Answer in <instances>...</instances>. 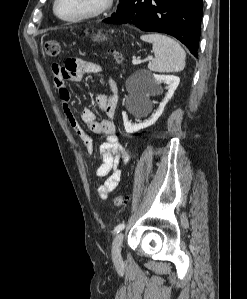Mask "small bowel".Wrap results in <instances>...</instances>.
<instances>
[{"mask_svg":"<svg viewBox=\"0 0 247 299\" xmlns=\"http://www.w3.org/2000/svg\"><path fill=\"white\" fill-rule=\"evenodd\" d=\"M103 72L104 69L100 64L82 59H68L63 65L52 64L53 81L62 103L63 112L69 124L82 139L85 151L89 155L93 152V139L82 128L71 108V93L66 86V81L79 82L85 73ZM96 104L105 118L99 121L92 109L84 108L81 112V120L90 131L105 137V141L100 145L102 162L97 169V176L106 179L98 187L97 194L101 199H107L117 188L121 180L122 167L129 161L124 147L118 140L113 122L118 104V90L112 79H109V93L97 94Z\"/></svg>","mask_w":247,"mask_h":299,"instance_id":"1","label":"small bowel"}]
</instances>
